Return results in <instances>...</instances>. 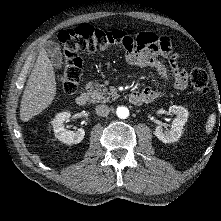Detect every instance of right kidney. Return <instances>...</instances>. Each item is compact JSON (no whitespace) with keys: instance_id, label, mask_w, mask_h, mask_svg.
Masks as SVG:
<instances>
[{"instance_id":"ca27d5eb","label":"right kidney","mask_w":221,"mask_h":221,"mask_svg":"<svg viewBox=\"0 0 221 221\" xmlns=\"http://www.w3.org/2000/svg\"><path fill=\"white\" fill-rule=\"evenodd\" d=\"M71 117L70 112L58 113L53 121L51 122L54 130L55 137L66 144H77L80 143L84 136L85 131L82 128L77 129V131H68L64 128V121Z\"/></svg>"}]
</instances>
